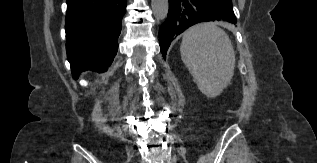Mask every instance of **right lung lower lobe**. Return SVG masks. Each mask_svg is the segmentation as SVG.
<instances>
[{"label":"right lung lower lobe","mask_w":317,"mask_h":163,"mask_svg":"<svg viewBox=\"0 0 317 163\" xmlns=\"http://www.w3.org/2000/svg\"><path fill=\"white\" fill-rule=\"evenodd\" d=\"M126 12V0H67L66 51L73 78L103 73L111 65Z\"/></svg>","instance_id":"98d812e1"}]
</instances>
